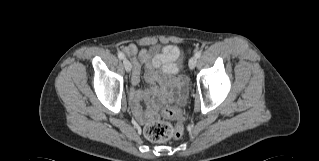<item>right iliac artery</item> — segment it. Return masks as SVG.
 <instances>
[{"label":"right iliac artery","instance_id":"right-iliac-artery-1","mask_svg":"<svg viewBox=\"0 0 319 161\" xmlns=\"http://www.w3.org/2000/svg\"><path fill=\"white\" fill-rule=\"evenodd\" d=\"M118 58L122 60V59L125 58V55L123 53L119 52L118 53Z\"/></svg>","mask_w":319,"mask_h":161}]
</instances>
